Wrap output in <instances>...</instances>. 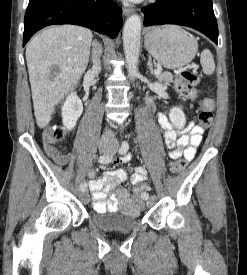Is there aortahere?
I'll list each match as a JSON object with an SVG mask.
<instances>
[{"label": "aorta", "instance_id": "1", "mask_svg": "<svg viewBox=\"0 0 247 275\" xmlns=\"http://www.w3.org/2000/svg\"><path fill=\"white\" fill-rule=\"evenodd\" d=\"M140 35L141 18L139 15L133 14L126 20L123 29V47L127 72L132 80L138 75Z\"/></svg>", "mask_w": 247, "mask_h": 275}]
</instances>
